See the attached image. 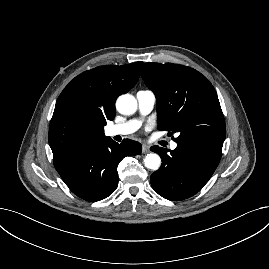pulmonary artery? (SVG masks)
I'll return each mask as SVG.
<instances>
[{
  "mask_svg": "<svg viewBox=\"0 0 269 269\" xmlns=\"http://www.w3.org/2000/svg\"><path fill=\"white\" fill-rule=\"evenodd\" d=\"M139 112L142 116L149 114L155 105L156 97L155 94L150 90H141L136 94ZM141 124L140 120L133 119L124 123L112 125L107 128L106 133L109 136L117 135H128L135 132ZM177 143L172 141L170 143V148L175 149Z\"/></svg>",
  "mask_w": 269,
  "mask_h": 269,
  "instance_id": "e3ab8cb5",
  "label": "pulmonary artery"
}]
</instances>
